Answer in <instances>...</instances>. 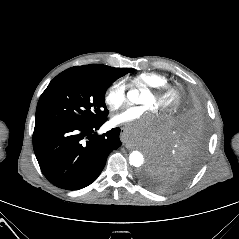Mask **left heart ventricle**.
Masks as SVG:
<instances>
[{"instance_id": "1", "label": "left heart ventricle", "mask_w": 239, "mask_h": 239, "mask_svg": "<svg viewBox=\"0 0 239 239\" xmlns=\"http://www.w3.org/2000/svg\"><path fill=\"white\" fill-rule=\"evenodd\" d=\"M141 103L145 106L151 107L156 113L161 112V102L157 101L149 92H145Z\"/></svg>"}]
</instances>
